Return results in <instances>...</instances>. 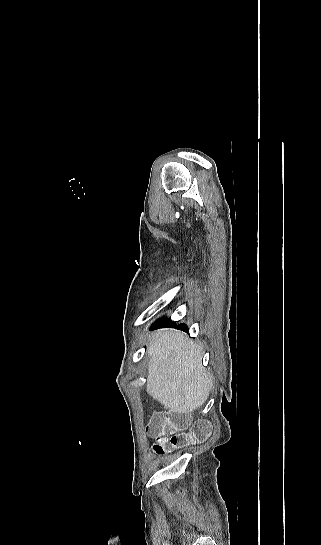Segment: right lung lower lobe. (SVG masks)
I'll return each instance as SVG.
<instances>
[{
  "label": "right lung lower lobe",
  "mask_w": 321,
  "mask_h": 545,
  "mask_svg": "<svg viewBox=\"0 0 321 545\" xmlns=\"http://www.w3.org/2000/svg\"><path fill=\"white\" fill-rule=\"evenodd\" d=\"M172 321L170 319H166V318H160L158 319L155 323H154V326H161V325H166V324H171ZM180 328L182 329H186L187 330V326L185 324H182V325H179Z\"/></svg>",
  "instance_id": "obj_1"
}]
</instances>
